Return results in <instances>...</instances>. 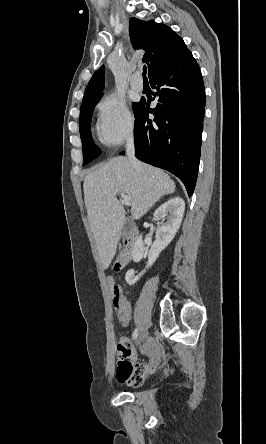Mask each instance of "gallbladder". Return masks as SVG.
Returning a JSON list of instances; mask_svg holds the SVG:
<instances>
[{"label":"gallbladder","instance_id":"gallbladder-1","mask_svg":"<svg viewBox=\"0 0 266 444\" xmlns=\"http://www.w3.org/2000/svg\"><path fill=\"white\" fill-rule=\"evenodd\" d=\"M130 229V221L127 220L124 227V232L127 233Z\"/></svg>","mask_w":266,"mask_h":444}]
</instances>
